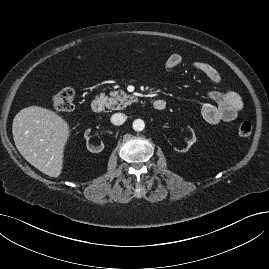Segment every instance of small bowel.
Instances as JSON below:
<instances>
[{"instance_id":"obj_1","label":"small bowel","mask_w":269,"mask_h":269,"mask_svg":"<svg viewBox=\"0 0 269 269\" xmlns=\"http://www.w3.org/2000/svg\"><path fill=\"white\" fill-rule=\"evenodd\" d=\"M181 63L182 57L176 53L169 55L165 62L168 69H176ZM193 68L213 82L221 80L219 71L207 62H194ZM206 98L200 104V112L203 119L211 124L234 121L244 105L242 98L233 91H210Z\"/></svg>"}]
</instances>
